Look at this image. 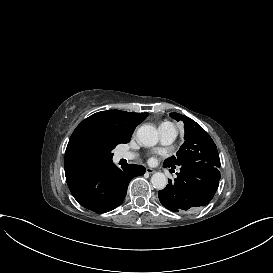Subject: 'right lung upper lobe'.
<instances>
[{
	"label": "right lung upper lobe",
	"instance_id": "right-lung-upper-lobe-1",
	"mask_svg": "<svg viewBox=\"0 0 273 273\" xmlns=\"http://www.w3.org/2000/svg\"><path fill=\"white\" fill-rule=\"evenodd\" d=\"M148 113L121 110L97 112L84 119L72 133L65 152L64 168L70 185L93 169L112 161L116 145L127 143Z\"/></svg>",
	"mask_w": 273,
	"mask_h": 273
}]
</instances>
